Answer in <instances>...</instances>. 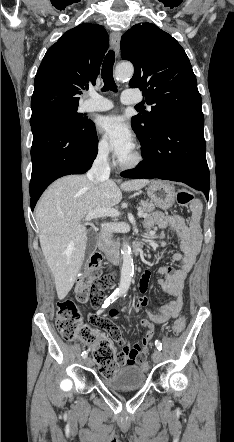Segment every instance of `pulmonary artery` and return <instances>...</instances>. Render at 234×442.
I'll return each mask as SVG.
<instances>
[{
  "mask_svg": "<svg viewBox=\"0 0 234 442\" xmlns=\"http://www.w3.org/2000/svg\"><path fill=\"white\" fill-rule=\"evenodd\" d=\"M141 101V97L130 92H124L121 97L123 104H135ZM113 108V103L97 94L94 91L89 92V98L84 103V109L90 112L108 111Z\"/></svg>",
  "mask_w": 234,
  "mask_h": 442,
  "instance_id": "e3ab8cb5",
  "label": "pulmonary artery"
}]
</instances>
